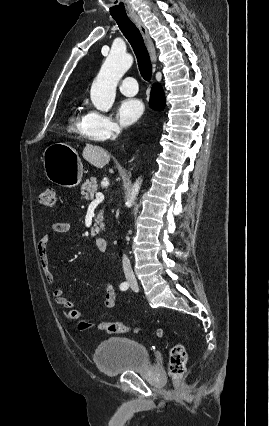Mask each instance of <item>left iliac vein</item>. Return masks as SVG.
<instances>
[{"mask_svg":"<svg viewBox=\"0 0 269 426\" xmlns=\"http://www.w3.org/2000/svg\"><path fill=\"white\" fill-rule=\"evenodd\" d=\"M131 289H132L133 291H135V292H138V291H139V287H138V284H137V282H136V281H132V282H131Z\"/></svg>","mask_w":269,"mask_h":426,"instance_id":"4c4485c4","label":"left iliac vein"}]
</instances>
